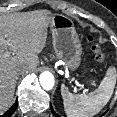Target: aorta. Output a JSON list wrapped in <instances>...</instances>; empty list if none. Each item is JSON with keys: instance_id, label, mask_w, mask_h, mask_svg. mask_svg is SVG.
I'll return each instance as SVG.
<instances>
[{"instance_id": "1", "label": "aorta", "mask_w": 117, "mask_h": 117, "mask_svg": "<svg viewBox=\"0 0 117 117\" xmlns=\"http://www.w3.org/2000/svg\"><path fill=\"white\" fill-rule=\"evenodd\" d=\"M40 85L45 90H51L54 86V76L50 72H42L39 77Z\"/></svg>"}]
</instances>
